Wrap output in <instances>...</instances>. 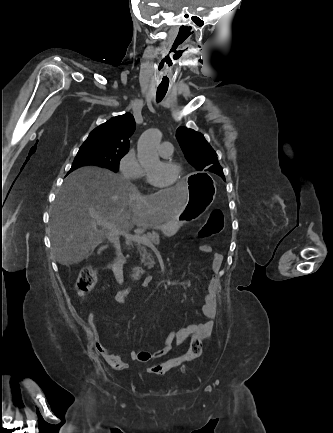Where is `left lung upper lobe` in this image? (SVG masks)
Returning <instances> with one entry per match:
<instances>
[{"label": "left lung upper lobe", "mask_w": 333, "mask_h": 433, "mask_svg": "<svg viewBox=\"0 0 333 433\" xmlns=\"http://www.w3.org/2000/svg\"><path fill=\"white\" fill-rule=\"evenodd\" d=\"M176 138L186 159L197 170L202 171L204 169L218 175L223 174L216 152L201 133L186 127H179Z\"/></svg>", "instance_id": "1"}]
</instances>
